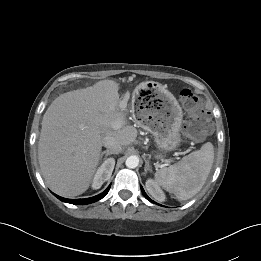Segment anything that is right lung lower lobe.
I'll return each instance as SVG.
<instances>
[{"label":"right lung lower lobe","instance_id":"1","mask_svg":"<svg viewBox=\"0 0 261 261\" xmlns=\"http://www.w3.org/2000/svg\"><path fill=\"white\" fill-rule=\"evenodd\" d=\"M109 188H110V186L101 194L96 195L94 197L86 198V199H66V198H62L56 194H54V195L63 202L77 204V205H85V204H90V203H93V202H96V201L102 199L108 193Z\"/></svg>","mask_w":261,"mask_h":261}]
</instances>
